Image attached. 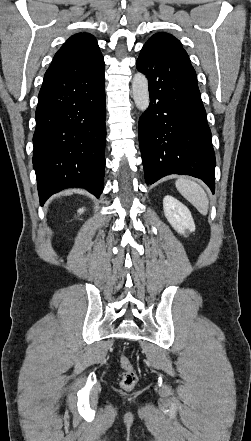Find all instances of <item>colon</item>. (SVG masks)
<instances>
[{"mask_svg":"<svg viewBox=\"0 0 251 441\" xmlns=\"http://www.w3.org/2000/svg\"><path fill=\"white\" fill-rule=\"evenodd\" d=\"M119 365L123 370L120 385L125 390H131L135 387L138 382V375L136 370L134 369L133 364L130 360L124 356L120 355L119 357Z\"/></svg>","mask_w":251,"mask_h":441,"instance_id":"1","label":"colon"}]
</instances>
